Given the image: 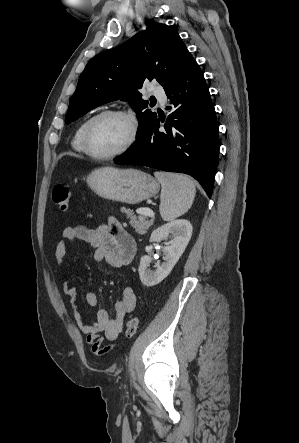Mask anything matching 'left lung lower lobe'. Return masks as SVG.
I'll use <instances>...</instances> for the list:
<instances>
[{"mask_svg": "<svg viewBox=\"0 0 299 443\" xmlns=\"http://www.w3.org/2000/svg\"><path fill=\"white\" fill-rule=\"evenodd\" d=\"M172 106L160 130L156 117L116 164L144 165L191 175L211 197L219 156V129L202 71L195 63L165 89Z\"/></svg>", "mask_w": 299, "mask_h": 443, "instance_id": "obj_1", "label": "left lung lower lobe"}]
</instances>
